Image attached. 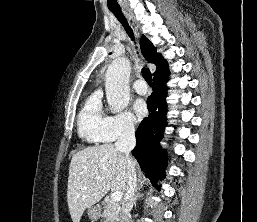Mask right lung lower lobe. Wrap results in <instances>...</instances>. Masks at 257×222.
Listing matches in <instances>:
<instances>
[{"mask_svg":"<svg viewBox=\"0 0 257 222\" xmlns=\"http://www.w3.org/2000/svg\"><path fill=\"white\" fill-rule=\"evenodd\" d=\"M169 71L154 76L153 93L147 99L149 117L145 118L136 130V147L132 155L137 159L142 171L153 185L157 180L164 179L166 166V153L161 150L160 140L167 125V86L165 85ZM159 188V186L157 187Z\"/></svg>","mask_w":257,"mask_h":222,"instance_id":"right-lung-lower-lobe-1","label":"right lung lower lobe"}]
</instances>
